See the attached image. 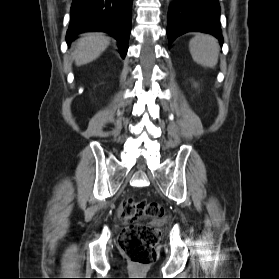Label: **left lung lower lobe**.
<instances>
[{
    "label": "left lung lower lobe",
    "mask_w": 279,
    "mask_h": 279,
    "mask_svg": "<svg viewBox=\"0 0 279 279\" xmlns=\"http://www.w3.org/2000/svg\"><path fill=\"white\" fill-rule=\"evenodd\" d=\"M209 33L222 44L220 5L218 0H174L168 12L169 45L186 32Z\"/></svg>",
    "instance_id": "0a47b994"
}]
</instances>
